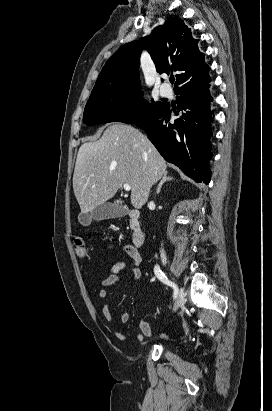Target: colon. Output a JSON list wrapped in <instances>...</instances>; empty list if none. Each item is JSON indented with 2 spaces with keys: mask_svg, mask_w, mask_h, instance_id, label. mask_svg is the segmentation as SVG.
<instances>
[{
  "mask_svg": "<svg viewBox=\"0 0 272 411\" xmlns=\"http://www.w3.org/2000/svg\"><path fill=\"white\" fill-rule=\"evenodd\" d=\"M75 253L79 258H84L88 254L87 247L82 239H76Z\"/></svg>",
  "mask_w": 272,
  "mask_h": 411,
  "instance_id": "5ec220e1",
  "label": "colon"
}]
</instances>
